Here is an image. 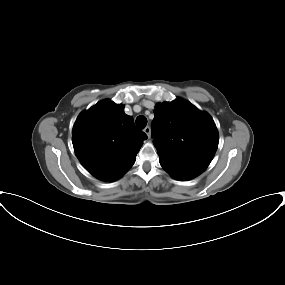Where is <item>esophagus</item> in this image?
I'll use <instances>...</instances> for the list:
<instances>
[{"label": "esophagus", "mask_w": 285, "mask_h": 285, "mask_svg": "<svg viewBox=\"0 0 285 285\" xmlns=\"http://www.w3.org/2000/svg\"><path fill=\"white\" fill-rule=\"evenodd\" d=\"M144 132L146 133V135L148 136V138L151 137V128L149 126L144 128Z\"/></svg>", "instance_id": "1"}]
</instances>
